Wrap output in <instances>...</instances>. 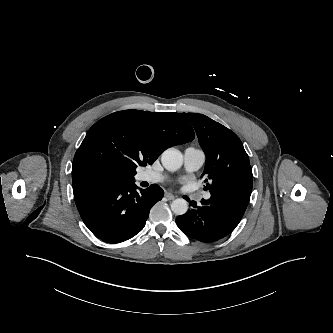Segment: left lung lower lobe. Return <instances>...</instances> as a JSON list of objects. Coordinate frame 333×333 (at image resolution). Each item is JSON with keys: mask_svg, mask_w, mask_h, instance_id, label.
Returning <instances> with one entry per match:
<instances>
[{"mask_svg": "<svg viewBox=\"0 0 333 333\" xmlns=\"http://www.w3.org/2000/svg\"><path fill=\"white\" fill-rule=\"evenodd\" d=\"M253 175L251 166L231 171L219 179L217 189L201 206L190 202L191 209L176 218L186 235L201 242H214L230 234L239 224L250 200Z\"/></svg>", "mask_w": 333, "mask_h": 333, "instance_id": "obj_1", "label": "left lung lower lobe"}]
</instances>
